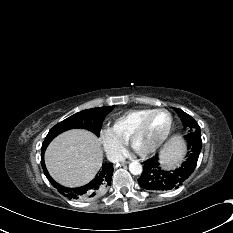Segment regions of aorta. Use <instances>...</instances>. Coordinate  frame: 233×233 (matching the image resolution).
I'll return each mask as SVG.
<instances>
[{
  "mask_svg": "<svg viewBox=\"0 0 233 233\" xmlns=\"http://www.w3.org/2000/svg\"><path fill=\"white\" fill-rule=\"evenodd\" d=\"M142 170H143L142 165L139 162H137V161L131 162L129 164V171L133 175H139V174H141Z\"/></svg>",
  "mask_w": 233,
  "mask_h": 233,
  "instance_id": "1",
  "label": "aorta"
}]
</instances>
